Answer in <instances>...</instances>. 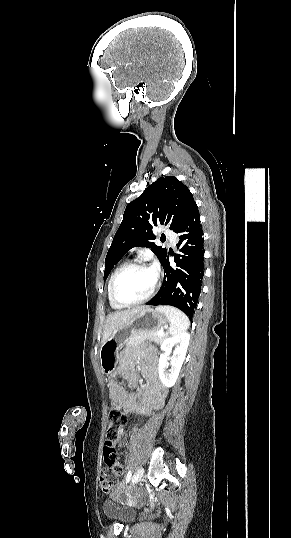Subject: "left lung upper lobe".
Segmentation results:
<instances>
[{
  "label": "left lung upper lobe",
  "mask_w": 291,
  "mask_h": 538,
  "mask_svg": "<svg viewBox=\"0 0 291 538\" xmlns=\"http://www.w3.org/2000/svg\"><path fill=\"white\" fill-rule=\"evenodd\" d=\"M198 208L192 193L174 176H162L130 202L105 259L104 280L132 247H148L162 262L167 249L154 243L153 226L169 225L175 231Z\"/></svg>",
  "instance_id": "5c2ea615"
}]
</instances>
